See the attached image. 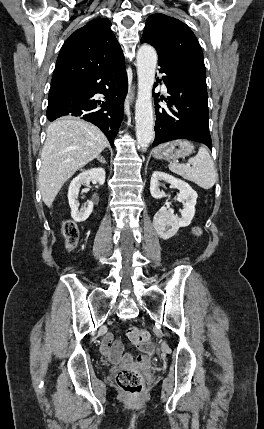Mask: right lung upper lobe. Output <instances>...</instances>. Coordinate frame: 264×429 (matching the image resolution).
I'll return each instance as SVG.
<instances>
[{"mask_svg": "<svg viewBox=\"0 0 264 429\" xmlns=\"http://www.w3.org/2000/svg\"><path fill=\"white\" fill-rule=\"evenodd\" d=\"M110 26L108 19L92 20L66 40L57 58L51 88L90 77L123 55Z\"/></svg>", "mask_w": 264, "mask_h": 429, "instance_id": "obj_1", "label": "right lung upper lobe"}]
</instances>
